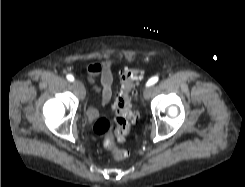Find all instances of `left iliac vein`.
<instances>
[{
	"label": "left iliac vein",
	"mask_w": 245,
	"mask_h": 187,
	"mask_svg": "<svg viewBox=\"0 0 245 187\" xmlns=\"http://www.w3.org/2000/svg\"><path fill=\"white\" fill-rule=\"evenodd\" d=\"M151 95V87H146L143 91V96L145 99H149Z\"/></svg>",
	"instance_id": "obj_1"
}]
</instances>
